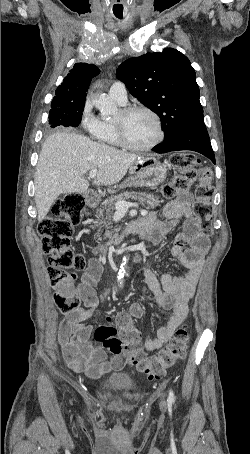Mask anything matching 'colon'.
<instances>
[{"mask_svg":"<svg viewBox=\"0 0 250 454\" xmlns=\"http://www.w3.org/2000/svg\"><path fill=\"white\" fill-rule=\"evenodd\" d=\"M171 162L177 174L162 187L165 198L172 199L186 193L197 182L192 215L201 232L213 234L209 200L213 195V172L200 166L193 154L177 153ZM85 206L83 195L71 193L56 201L52 214L41 221L38 227L42 238V250L47 260V273L54 289V302L63 313H73L80 307V297L75 287L76 272L86 267L85 257L71 245L74 226L80 223V213ZM117 326H100L94 332L95 340L101 342L112 354H124L138 371L149 379L160 378L168 369L183 358L189 341L186 325L176 329L173 338L157 354L146 357L140 347V336L132 323V317L123 314Z\"/></svg>","mask_w":250,"mask_h":454,"instance_id":"obj_1","label":"colon"}]
</instances>
